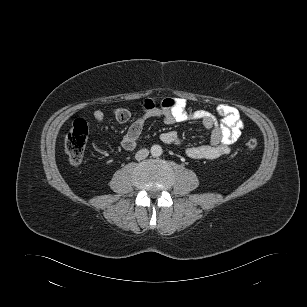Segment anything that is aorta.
Masks as SVG:
<instances>
[{"label":"aorta","mask_w":307,"mask_h":307,"mask_svg":"<svg viewBox=\"0 0 307 307\" xmlns=\"http://www.w3.org/2000/svg\"><path fill=\"white\" fill-rule=\"evenodd\" d=\"M150 151L154 157H158L163 153L162 147L160 145H153Z\"/></svg>","instance_id":"aorta-1"}]
</instances>
